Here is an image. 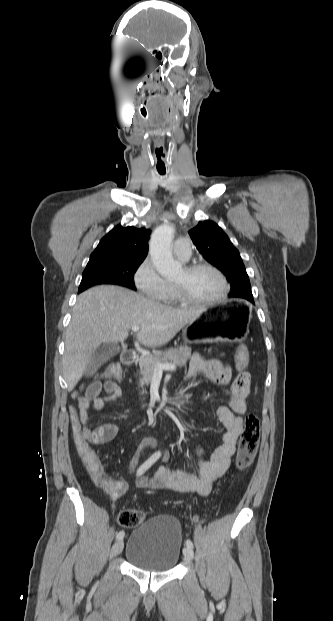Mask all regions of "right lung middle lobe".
Listing matches in <instances>:
<instances>
[{"label":"right lung middle lobe","instance_id":"1","mask_svg":"<svg viewBox=\"0 0 333 621\" xmlns=\"http://www.w3.org/2000/svg\"><path fill=\"white\" fill-rule=\"evenodd\" d=\"M143 261H89L82 275L79 293L97 284H115L136 290L134 274Z\"/></svg>","mask_w":333,"mask_h":621}]
</instances>
